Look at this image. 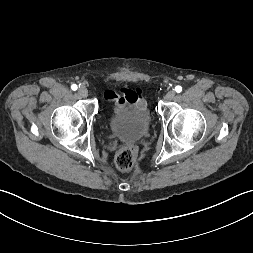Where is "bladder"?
I'll use <instances>...</instances> for the list:
<instances>
[{
  "label": "bladder",
  "mask_w": 253,
  "mask_h": 253,
  "mask_svg": "<svg viewBox=\"0 0 253 253\" xmlns=\"http://www.w3.org/2000/svg\"><path fill=\"white\" fill-rule=\"evenodd\" d=\"M110 130L124 141H138L150 131L151 116L146 105L142 107L115 105L110 117Z\"/></svg>",
  "instance_id": "bladder-1"
}]
</instances>
